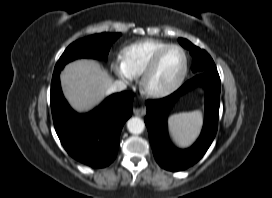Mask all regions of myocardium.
<instances>
[{
  "instance_id": "myocardium-1",
  "label": "myocardium",
  "mask_w": 272,
  "mask_h": 198,
  "mask_svg": "<svg viewBox=\"0 0 272 198\" xmlns=\"http://www.w3.org/2000/svg\"><path fill=\"white\" fill-rule=\"evenodd\" d=\"M171 49H178L182 52L183 57H184L183 70H182L180 76L176 79V81H174L168 87L161 88V89L152 88L150 86V80H151L152 76L154 75V73L156 72V70L158 69L159 64H160L162 58L164 57V55L168 51H170ZM188 70H189V58H188L186 50L183 47H181L180 45L170 44V45L164 47L163 49H161L154 56V58L151 60V62L147 66V68L141 74V79H140L141 90L146 96L151 97V98H162V97L168 96L180 88V86L183 84V82L188 74Z\"/></svg>"
}]
</instances>
